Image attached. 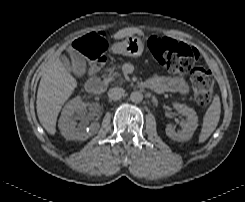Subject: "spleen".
<instances>
[{
    "label": "spleen",
    "mask_w": 245,
    "mask_h": 202,
    "mask_svg": "<svg viewBox=\"0 0 245 202\" xmlns=\"http://www.w3.org/2000/svg\"><path fill=\"white\" fill-rule=\"evenodd\" d=\"M221 113V103L219 96L215 95L211 105L207 109L204 118L199 143L205 142L216 129Z\"/></svg>",
    "instance_id": "1"
}]
</instances>
